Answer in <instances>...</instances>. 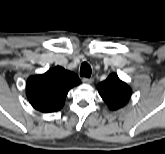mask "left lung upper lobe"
Instances as JSON below:
<instances>
[{
	"label": "left lung upper lobe",
	"mask_w": 165,
	"mask_h": 154,
	"mask_svg": "<svg viewBox=\"0 0 165 154\" xmlns=\"http://www.w3.org/2000/svg\"><path fill=\"white\" fill-rule=\"evenodd\" d=\"M98 91L111 110L123 107L131 96V88L115 73L99 84Z\"/></svg>",
	"instance_id": "1"
}]
</instances>
